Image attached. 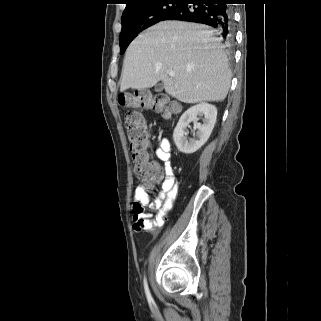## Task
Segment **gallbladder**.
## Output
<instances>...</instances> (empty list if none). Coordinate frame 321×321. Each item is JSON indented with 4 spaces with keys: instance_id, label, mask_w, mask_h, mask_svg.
<instances>
[{
    "instance_id": "bac80fb5",
    "label": "gallbladder",
    "mask_w": 321,
    "mask_h": 321,
    "mask_svg": "<svg viewBox=\"0 0 321 321\" xmlns=\"http://www.w3.org/2000/svg\"><path fill=\"white\" fill-rule=\"evenodd\" d=\"M163 90V85L162 84H157L156 86H155V91L156 92H161Z\"/></svg>"
}]
</instances>
